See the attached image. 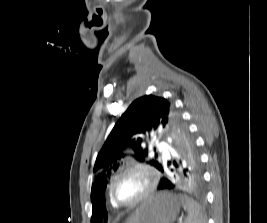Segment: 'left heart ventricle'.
<instances>
[{
    "label": "left heart ventricle",
    "instance_id": "b2bd125f",
    "mask_svg": "<svg viewBox=\"0 0 267 223\" xmlns=\"http://www.w3.org/2000/svg\"><path fill=\"white\" fill-rule=\"evenodd\" d=\"M148 177L137 170L121 176L114 187L116 197L122 202H129L140 196L148 186Z\"/></svg>",
    "mask_w": 267,
    "mask_h": 223
}]
</instances>
